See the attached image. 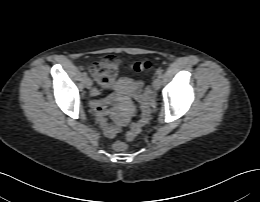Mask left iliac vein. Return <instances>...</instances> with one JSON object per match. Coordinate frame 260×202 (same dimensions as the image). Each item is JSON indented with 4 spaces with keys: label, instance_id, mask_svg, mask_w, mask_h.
<instances>
[{
    "label": "left iliac vein",
    "instance_id": "obj_1",
    "mask_svg": "<svg viewBox=\"0 0 260 202\" xmlns=\"http://www.w3.org/2000/svg\"><path fill=\"white\" fill-rule=\"evenodd\" d=\"M160 85H161L160 78H156L153 80L152 87L154 90H158L160 88Z\"/></svg>",
    "mask_w": 260,
    "mask_h": 202
}]
</instances>
